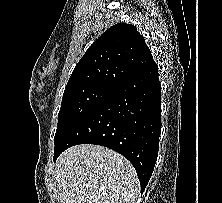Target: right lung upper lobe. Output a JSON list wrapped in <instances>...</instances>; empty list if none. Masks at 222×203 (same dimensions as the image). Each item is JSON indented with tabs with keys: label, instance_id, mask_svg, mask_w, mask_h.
I'll use <instances>...</instances> for the list:
<instances>
[{
	"label": "right lung upper lobe",
	"instance_id": "obj_1",
	"mask_svg": "<svg viewBox=\"0 0 222 203\" xmlns=\"http://www.w3.org/2000/svg\"><path fill=\"white\" fill-rule=\"evenodd\" d=\"M152 63L151 51L136 27L118 23L88 48L65 89L100 87L114 90Z\"/></svg>",
	"mask_w": 222,
	"mask_h": 203
}]
</instances>
